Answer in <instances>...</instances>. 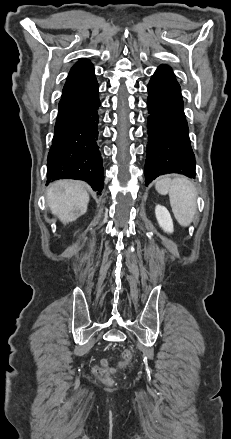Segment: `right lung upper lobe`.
<instances>
[{"instance_id": "obj_1", "label": "right lung upper lobe", "mask_w": 231, "mask_h": 439, "mask_svg": "<svg viewBox=\"0 0 231 439\" xmlns=\"http://www.w3.org/2000/svg\"><path fill=\"white\" fill-rule=\"evenodd\" d=\"M94 76V67L87 59H81L70 70L63 91L77 86Z\"/></svg>"}]
</instances>
